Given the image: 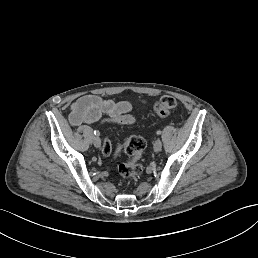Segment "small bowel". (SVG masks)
Instances as JSON below:
<instances>
[{
  "label": "small bowel",
  "mask_w": 258,
  "mask_h": 258,
  "mask_svg": "<svg viewBox=\"0 0 258 258\" xmlns=\"http://www.w3.org/2000/svg\"><path fill=\"white\" fill-rule=\"evenodd\" d=\"M131 111L132 104L128 101H114L96 95H85L72 104L69 120L73 126L83 123L130 125L135 122Z\"/></svg>",
  "instance_id": "small-bowel-1"
}]
</instances>
